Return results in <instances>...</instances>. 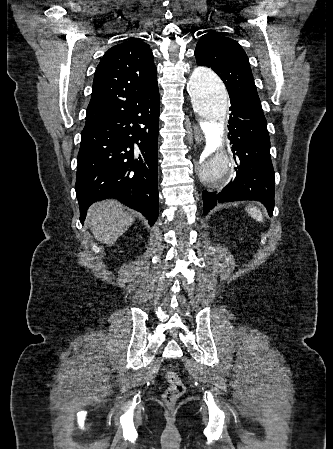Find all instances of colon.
<instances>
[{"instance_id": "colon-1", "label": "colon", "mask_w": 333, "mask_h": 449, "mask_svg": "<svg viewBox=\"0 0 333 449\" xmlns=\"http://www.w3.org/2000/svg\"><path fill=\"white\" fill-rule=\"evenodd\" d=\"M168 386L163 394V400L166 405L171 406L177 402L185 391V386L180 377L173 371L165 373Z\"/></svg>"}]
</instances>
